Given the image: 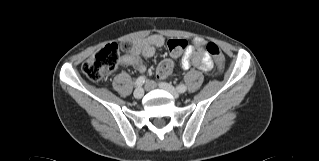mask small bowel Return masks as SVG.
Here are the masks:
<instances>
[{"label":"small bowel","mask_w":319,"mask_h":161,"mask_svg":"<svg viewBox=\"0 0 319 161\" xmlns=\"http://www.w3.org/2000/svg\"><path fill=\"white\" fill-rule=\"evenodd\" d=\"M164 45V38L159 34H153L149 37L134 42L129 52L120 57L119 63L126 66H132L140 73H145L147 67L140 56L145 58H151L156 49L161 48ZM206 41L203 39L195 40V48L188 49L181 57V67L184 70L189 69L191 66H195L204 71H210L212 69V61L209 53L206 51ZM159 67L156 69V73L159 77L165 78L170 72L159 75Z\"/></svg>","instance_id":"1"}]
</instances>
